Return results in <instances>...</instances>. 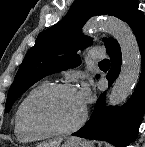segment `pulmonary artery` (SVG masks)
<instances>
[{
  "instance_id": "1",
  "label": "pulmonary artery",
  "mask_w": 145,
  "mask_h": 147,
  "mask_svg": "<svg viewBox=\"0 0 145 147\" xmlns=\"http://www.w3.org/2000/svg\"><path fill=\"white\" fill-rule=\"evenodd\" d=\"M105 56H106V52L100 48H95L91 50L89 53V57L92 60H100V59L105 58Z\"/></svg>"
}]
</instances>
